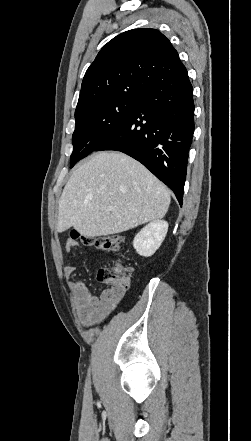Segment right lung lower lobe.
<instances>
[{"label":"right lung lower lobe","instance_id":"1","mask_svg":"<svg viewBox=\"0 0 251 441\" xmlns=\"http://www.w3.org/2000/svg\"><path fill=\"white\" fill-rule=\"evenodd\" d=\"M193 132V88L184 68L146 90L137 107L94 151H121L138 160L182 205Z\"/></svg>","mask_w":251,"mask_h":441}]
</instances>
